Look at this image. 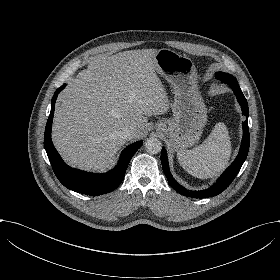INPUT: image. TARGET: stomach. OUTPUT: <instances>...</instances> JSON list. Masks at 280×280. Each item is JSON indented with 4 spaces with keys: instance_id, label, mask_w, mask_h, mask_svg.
Here are the masks:
<instances>
[{
    "instance_id": "stomach-1",
    "label": "stomach",
    "mask_w": 280,
    "mask_h": 280,
    "mask_svg": "<svg viewBox=\"0 0 280 280\" xmlns=\"http://www.w3.org/2000/svg\"><path fill=\"white\" fill-rule=\"evenodd\" d=\"M153 61L154 70L170 83L174 93L173 116L157 123V131L169 138L174 150L191 148L200 140L208 122L196 68L191 59L168 48L158 50Z\"/></svg>"
}]
</instances>
